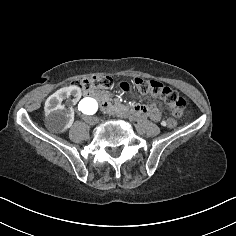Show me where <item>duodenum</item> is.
I'll use <instances>...</instances> for the list:
<instances>
[{
	"instance_id": "obj_1",
	"label": "duodenum",
	"mask_w": 236,
	"mask_h": 236,
	"mask_svg": "<svg viewBox=\"0 0 236 236\" xmlns=\"http://www.w3.org/2000/svg\"><path fill=\"white\" fill-rule=\"evenodd\" d=\"M84 95L97 99L103 112L117 116L134 114V108L121 103H114L95 90H85Z\"/></svg>"
}]
</instances>
